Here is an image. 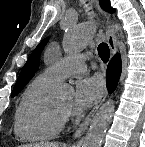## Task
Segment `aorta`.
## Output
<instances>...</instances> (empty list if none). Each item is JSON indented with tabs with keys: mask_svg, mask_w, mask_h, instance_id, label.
<instances>
[{
	"mask_svg": "<svg viewBox=\"0 0 145 147\" xmlns=\"http://www.w3.org/2000/svg\"><path fill=\"white\" fill-rule=\"evenodd\" d=\"M93 36L94 26L92 24L85 23L69 26L64 35V50L69 54L78 52L92 42ZM64 89V87H61L59 93H63ZM114 109L115 106L112 100H109L99 108L91 121L82 147H101L106 130L111 122Z\"/></svg>",
	"mask_w": 145,
	"mask_h": 147,
	"instance_id": "762f6f07",
	"label": "aorta"
}]
</instances>
